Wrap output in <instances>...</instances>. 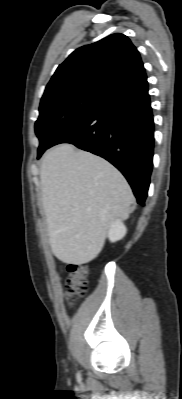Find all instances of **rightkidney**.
<instances>
[{"mask_svg": "<svg viewBox=\"0 0 182 399\" xmlns=\"http://www.w3.org/2000/svg\"><path fill=\"white\" fill-rule=\"evenodd\" d=\"M127 229L121 220H115L111 223L108 238L111 242L121 240L126 235Z\"/></svg>", "mask_w": 182, "mask_h": 399, "instance_id": "obj_1", "label": "right kidney"}]
</instances>
